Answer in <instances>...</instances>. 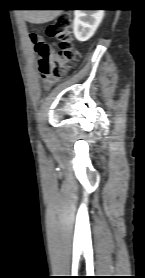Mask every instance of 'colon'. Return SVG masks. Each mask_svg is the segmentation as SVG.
<instances>
[{
  "instance_id": "5ec220e1",
  "label": "colon",
  "mask_w": 145,
  "mask_h": 278,
  "mask_svg": "<svg viewBox=\"0 0 145 278\" xmlns=\"http://www.w3.org/2000/svg\"><path fill=\"white\" fill-rule=\"evenodd\" d=\"M70 28V16L60 14L46 28L47 36L58 40L59 46H55L47 40H40L35 36L31 37L40 58L39 70L43 77H50L54 80L62 79L74 62L76 52L70 37Z\"/></svg>"
}]
</instances>
